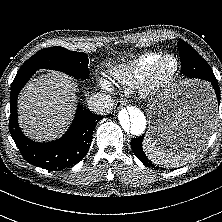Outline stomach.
<instances>
[{"label":"stomach","mask_w":222,"mask_h":222,"mask_svg":"<svg viewBox=\"0 0 222 222\" xmlns=\"http://www.w3.org/2000/svg\"><path fill=\"white\" fill-rule=\"evenodd\" d=\"M214 96L203 82L175 83L149 105L147 137L165 148L198 151L210 137L214 121ZM192 142L182 144L185 135Z\"/></svg>","instance_id":"obj_1"}]
</instances>
